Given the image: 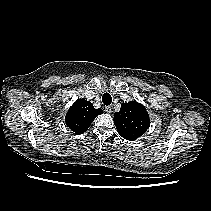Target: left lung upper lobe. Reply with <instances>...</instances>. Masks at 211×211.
<instances>
[{"instance_id":"5c2ea615","label":"left lung upper lobe","mask_w":211,"mask_h":211,"mask_svg":"<svg viewBox=\"0 0 211 211\" xmlns=\"http://www.w3.org/2000/svg\"><path fill=\"white\" fill-rule=\"evenodd\" d=\"M114 118L118 133L130 141L143 135L150 125L149 115L145 107L136 101L123 103L120 111L114 114Z\"/></svg>"}]
</instances>
